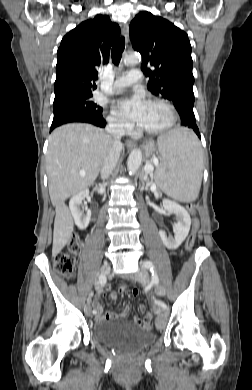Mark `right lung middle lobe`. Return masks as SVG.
<instances>
[{
	"instance_id": "dd1d6c3e",
	"label": "right lung middle lobe",
	"mask_w": 252,
	"mask_h": 390,
	"mask_svg": "<svg viewBox=\"0 0 252 390\" xmlns=\"http://www.w3.org/2000/svg\"><path fill=\"white\" fill-rule=\"evenodd\" d=\"M92 94L68 97L53 103L54 114L64 111L85 112L92 115H102L103 109L91 101Z\"/></svg>"
}]
</instances>
